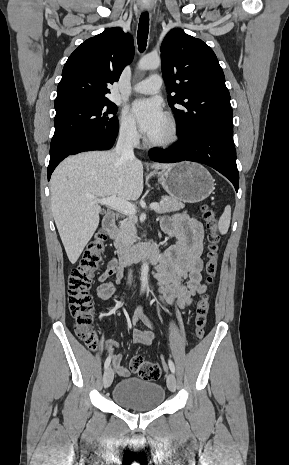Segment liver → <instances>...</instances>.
Returning a JSON list of instances; mask_svg holds the SVG:
<instances>
[{"mask_svg": "<svg viewBox=\"0 0 289 465\" xmlns=\"http://www.w3.org/2000/svg\"><path fill=\"white\" fill-rule=\"evenodd\" d=\"M172 164L154 163L153 169ZM143 191V164L115 151H89L63 160L50 181L51 210L67 253L75 264L99 225L97 199L112 195L137 200Z\"/></svg>", "mask_w": 289, "mask_h": 465, "instance_id": "obj_1", "label": "liver"}]
</instances>
